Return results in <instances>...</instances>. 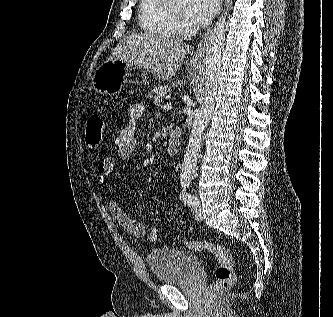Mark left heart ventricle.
Wrapping results in <instances>:
<instances>
[{"instance_id": "left-heart-ventricle-1", "label": "left heart ventricle", "mask_w": 333, "mask_h": 317, "mask_svg": "<svg viewBox=\"0 0 333 317\" xmlns=\"http://www.w3.org/2000/svg\"><path fill=\"white\" fill-rule=\"evenodd\" d=\"M170 7L177 15L179 16L184 15V10H185L184 2H173Z\"/></svg>"}]
</instances>
